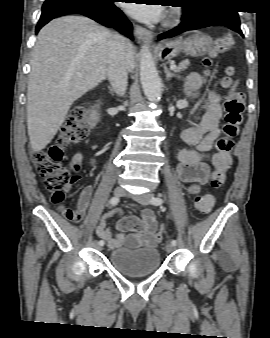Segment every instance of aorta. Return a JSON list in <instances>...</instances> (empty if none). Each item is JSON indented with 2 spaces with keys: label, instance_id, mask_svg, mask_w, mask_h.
Here are the masks:
<instances>
[{
  "label": "aorta",
  "instance_id": "1",
  "mask_svg": "<svg viewBox=\"0 0 270 338\" xmlns=\"http://www.w3.org/2000/svg\"><path fill=\"white\" fill-rule=\"evenodd\" d=\"M140 80L147 99L158 102L162 94L161 80L147 45H143L141 49Z\"/></svg>",
  "mask_w": 270,
  "mask_h": 338
}]
</instances>
